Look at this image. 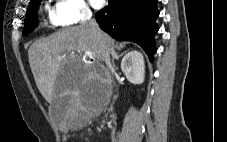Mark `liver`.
Masks as SVG:
<instances>
[{"mask_svg":"<svg viewBox=\"0 0 227 142\" xmlns=\"http://www.w3.org/2000/svg\"><path fill=\"white\" fill-rule=\"evenodd\" d=\"M101 33L110 50H114V40ZM74 50L83 52V55L69 54ZM28 57L35 83L44 99L51 104L62 93L70 94L73 115L77 114L88 90L99 87L106 80L93 71L95 63L103 60L102 52L89 30L82 25L64 28L35 41L28 50ZM85 57L92 61L84 62ZM73 62L78 63V71L70 75L64 68Z\"/></svg>","mask_w":227,"mask_h":142,"instance_id":"1","label":"liver"}]
</instances>
